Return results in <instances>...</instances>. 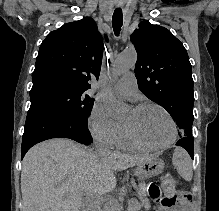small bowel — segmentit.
I'll use <instances>...</instances> for the list:
<instances>
[{
	"label": "small bowel",
	"instance_id": "obj_1",
	"mask_svg": "<svg viewBox=\"0 0 219 211\" xmlns=\"http://www.w3.org/2000/svg\"><path fill=\"white\" fill-rule=\"evenodd\" d=\"M153 202L159 204V211H190L191 196L182 197L178 204L175 201L169 200L167 197H162L159 191L151 193Z\"/></svg>",
	"mask_w": 219,
	"mask_h": 211
}]
</instances>
